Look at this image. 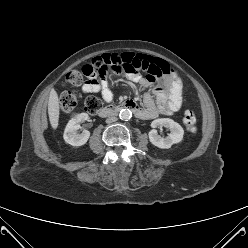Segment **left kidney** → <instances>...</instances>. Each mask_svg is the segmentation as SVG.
Returning <instances> with one entry per match:
<instances>
[{
  "instance_id": "obj_1",
  "label": "left kidney",
  "mask_w": 248,
  "mask_h": 248,
  "mask_svg": "<svg viewBox=\"0 0 248 248\" xmlns=\"http://www.w3.org/2000/svg\"><path fill=\"white\" fill-rule=\"evenodd\" d=\"M151 127L153 128L149 132V140L150 142L161 149H168L171 148L173 144H177L182 141L184 130L183 128L174 120L169 118H159L151 123ZM158 127H165L169 129L171 132L168 134L166 138L161 137L158 135L155 128Z\"/></svg>"
}]
</instances>
